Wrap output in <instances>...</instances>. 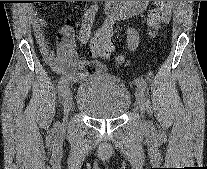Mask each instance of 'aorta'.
<instances>
[{
    "label": "aorta",
    "mask_w": 207,
    "mask_h": 169,
    "mask_svg": "<svg viewBox=\"0 0 207 169\" xmlns=\"http://www.w3.org/2000/svg\"><path fill=\"white\" fill-rule=\"evenodd\" d=\"M132 2L134 1H109V4L112 11L123 15L131 10L129 8L132 7Z\"/></svg>",
    "instance_id": "obj_1"
}]
</instances>
